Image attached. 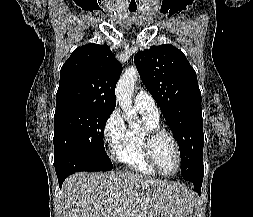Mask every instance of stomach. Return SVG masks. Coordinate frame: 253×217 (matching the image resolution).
<instances>
[{"instance_id":"obj_1","label":"stomach","mask_w":253,"mask_h":217,"mask_svg":"<svg viewBox=\"0 0 253 217\" xmlns=\"http://www.w3.org/2000/svg\"><path fill=\"white\" fill-rule=\"evenodd\" d=\"M179 217H192V213L190 212H184L181 216Z\"/></svg>"}]
</instances>
